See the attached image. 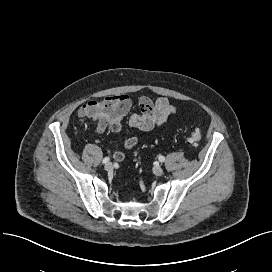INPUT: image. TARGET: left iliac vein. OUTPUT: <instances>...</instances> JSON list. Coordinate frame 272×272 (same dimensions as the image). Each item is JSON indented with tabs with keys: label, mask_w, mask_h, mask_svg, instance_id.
<instances>
[{
	"label": "left iliac vein",
	"mask_w": 272,
	"mask_h": 272,
	"mask_svg": "<svg viewBox=\"0 0 272 272\" xmlns=\"http://www.w3.org/2000/svg\"><path fill=\"white\" fill-rule=\"evenodd\" d=\"M153 172L156 176H161L163 174V169L160 166H155Z\"/></svg>",
	"instance_id": "left-iliac-vein-1"
}]
</instances>
